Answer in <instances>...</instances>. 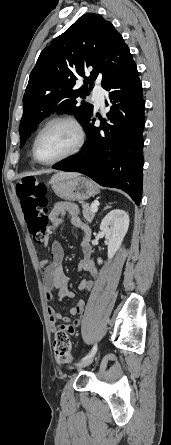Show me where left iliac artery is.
<instances>
[{
  "label": "left iliac artery",
  "instance_id": "obj_1",
  "mask_svg": "<svg viewBox=\"0 0 171 445\" xmlns=\"http://www.w3.org/2000/svg\"><path fill=\"white\" fill-rule=\"evenodd\" d=\"M96 351H97V344H95V345L93 346V348L91 349V351H90L84 358H82L81 361H84V360L87 359L88 357L94 355V354L96 353Z\"/></svg>",
  "mask_w": 171,
  "mask_h": 445
}]
</instances>
